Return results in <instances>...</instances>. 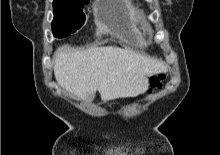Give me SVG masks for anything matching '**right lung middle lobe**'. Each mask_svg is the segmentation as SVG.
<instances>
[{
    "mask_svg": "<svg viewBox=\"0 0 220 155\" xmlns=\"http://www.w3.org/2000/svg\"><path fill=\"white\" fill-rule=\"evenodd\" d=\"M86 3L88 2L53 1L52 31L55 37H66L83 26L85 14L82 7Z\"/></svg>",
    "mask_w": 220,
    "mask_h": 155,
    "instance_id": "right-lung-middle-lobe-1",
    "label": "right lung middle lobe"
}]
</instances>
